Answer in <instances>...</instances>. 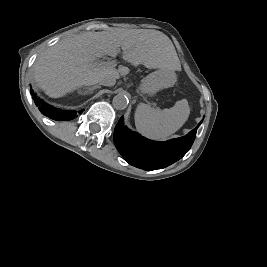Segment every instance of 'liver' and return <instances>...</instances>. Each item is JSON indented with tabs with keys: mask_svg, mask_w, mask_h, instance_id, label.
I'll use <instances>...</instances> for the list:
<instances>
[{
	"mask_svg": "<svg viewBox=\"0 0 267 267\" xmlns=\"http://www.w3.org/2000/svg\"><path fill=\"white\" fill-rule=\"evenodd\" d=\"M123 50V59L134 66L149 69H180L175 47L168 36L157 30L114 29L86 32L60 40L37 57L32 69L38 86L58 98L79 86L98 83L105 76L119 78L129 73L127 67L118 70L112 65H100L96 60L104 55L117 56Z\"/></svg>",
	"mask_w": 267,
	"mask_h": 267,
	"instance_id": "liver-1",
	"label": "liver"
}]
</instances>
